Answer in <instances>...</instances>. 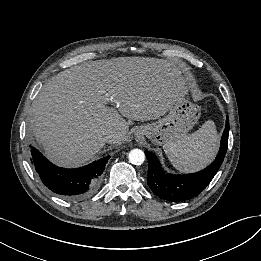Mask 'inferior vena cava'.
Masks as SVG:
<instances>
[{
  "mask_svg": "<svg viewBox=\"0 0 261 261\" xmlns=\"http://www.w3.org/2000/svg\"><path fill=\"white\" fill-rule=\"evenodd\" d=\"M104 137H105V140L107 142H112V141H115L118 138V134L115 131L108 129V130L105 131Z\"/></svg>",
  "mask_w": 261,
  "mask_h": 261,
  "instance_id": "1",
  "label": "inferior vena cava"
}]
</instances>
